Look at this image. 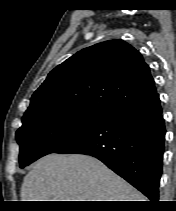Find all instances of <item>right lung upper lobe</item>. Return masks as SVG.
<instances>
[{"label":"right lung upper lobe","mask_w":176,"mask_h":211,"mask_svg":"<svg viewBox=\"0 0 176 211\" xmlns=\"http://www.w3.org/2000/svg\"><path fill=\"white\" fill-rule=\"evenodd\" d=\"M156 94L142 55L122 40H109L79 51L54 68L32 95L23 117L51 108L107 116Z\"/></svg>","instance_id":"1"}]
</instances>
